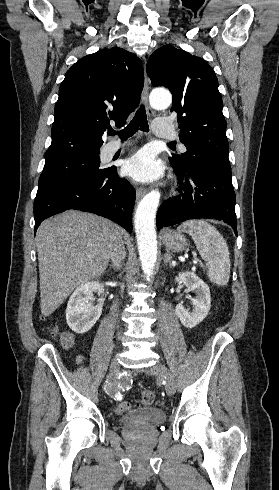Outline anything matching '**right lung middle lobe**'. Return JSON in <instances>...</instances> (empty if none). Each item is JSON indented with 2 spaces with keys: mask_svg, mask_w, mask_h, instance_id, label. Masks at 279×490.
Wrapping results in <instances>:
<instances>
[{
  "mask_svg": "<svg viewBox=\"0 0 279 490\" xmlns=\"http://www.w3.org/2000/svg\"><path fill=\"white\" fill-rule=\"evenodd\" d=\"M99 165L100 158L98 155L47 163L40 175L39 186L76 179L94 178L104 175L110 169H99Z\"/></svg>",
  "mask_w": 279,
  "mask_h": 490,
  "instance_id": "dd1d6c3e",
  "label": "right lung middle lobe"
}]
</instances>
